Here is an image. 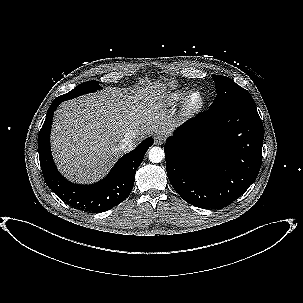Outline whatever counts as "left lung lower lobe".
<instances>
[{
    "label": "left lung lower lobe",
    "instance_id": "left-lung-lower-lobe-1",
    "mask_svg": "<svg viewBox=\"0 0 303 303\" xmlns=\"http://www.w3.org/2000/svg\"><path fill=\"white\" fill-rule=\"evenodd\" d=\"M263 138L256 106L202 112L166 140L169 181L186 202L221 209L255 181L261 167Z\"/></svg>",
    "mask_w": 303,
    "mask_h": 303
}]
</instances>
